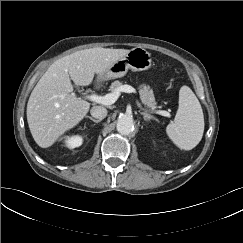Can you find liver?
<instances>
[{
	"label": "liver",
	"mask_w": 243,
	"mask_h": 243,
	"mask_svg": "<svg viewBox=\"0 0 243 243\" xmlns=\"http://www.w3.org/2000/svg\"><path fill=\"white\" fill-rule=\"evenodd\" d=\"M129 50L91 48L56 60L40 78L27 103V122L35 142L50 147L88 113L90 103L73 93L71 80L80 86L101 77Z\"/></svg>",
	"instance_id": "obj_1"
}]
</instances>
